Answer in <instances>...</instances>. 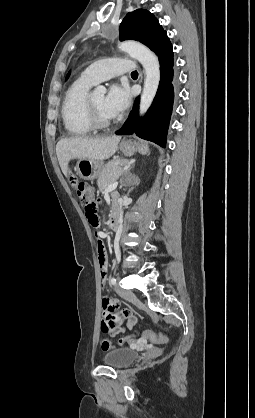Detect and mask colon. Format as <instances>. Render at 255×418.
Wrapping results in <instances>:
<instances>
[{
    "label": "colon",
    "instance_id": "obj_1",
    "mask_svg": "<svg viewBox=\"0 0 255 418\" xmlns=\"http://www.w3.org/2000/svg\"><path fill=\"white\" fill-rule=\"evenodd\" d=\"M72 184L74 192L84 208L85 215L90 225L94 228L98 227L99 220L97 216V205L93 199L91 187L87 183L78 181L76 179L72 180ZM144 337L152 342L166 341L165 335L153 331H145ZM130 341L131 336H124L119 339L118 343L122 345ZM101 346L104 351H109L114 348L113 344L108 339H103Z\"/></svg>",
    "mask_w": 255,
    "mask_h": 418
}]
</instances>
